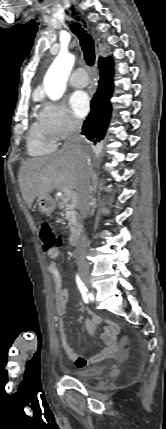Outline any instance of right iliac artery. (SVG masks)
<instances>
[{
  "mask_svg": "<svg viewBox=\"0 0 166 429\" xmlns=\"http://www.w3.org/2000/svg\"><path fill=\"white\" fill-rule=\"evenodd\" d=\"M76 283H77L78 288H79V290L83 296L84 302L88 303L87 288L84 286V283L82 282V280L78 274H76Z\"/></svg>",
  "mask_w": 166,
  "mask_h": 429,
  "instance_id": "1",
  "label": "right iliac artery"
}]
</instances>
